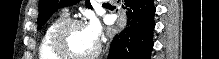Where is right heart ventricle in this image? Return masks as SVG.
<instances>
[{
	"label": "right heart ventricle",
	"instance_id": "obj_1",
	"mask_svg": "<svg viewBox=\"0 0 219 59\" xmlns=\"http://www.w3.org/2000/svg\"><path fill=\"white\" fill-rule=\"evenodd\" d=\"M66 18L61 15L53 19L44 29L38 46L39 59H62L52 49V38L56 28L65 21Z\"/></svg>",
	"mask_w": 219,
	"mask_h": 59
}]
</instances>
